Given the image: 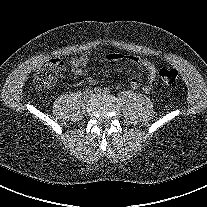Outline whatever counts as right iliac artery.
<instances>
[{
  "label": "right iliac artery",
  "mask_w": 207,
  "mask_h": 207,
  "mask_svg": "<svg viewBox=\"0 0 207 207\" xmlns=\"http://www.w3.org/2000/svg\"><path fill=\"white\" fill-rule=\"evenodd\" d=\"M101 91H102V89L100 87H95L94 88L95 93H100Z\"/></svg>",
  "instance_id": "right-iliac-artery-1"
}]
</instances>
